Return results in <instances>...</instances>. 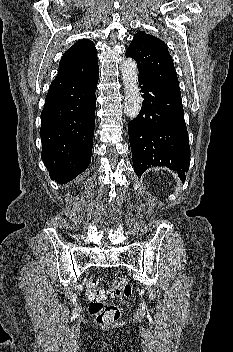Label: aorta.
Here are the masks:
<instances>
[{
	"mask_svg": "<svg viewBox=\"0 0 233 352\" xmlns=\"http://www.w3.org/2000/svg\"><path fill=\"white\" fill-rule=\"evenodd\" d=\"M122 80L125 89L124 113L133 119L141 109V96L137 85L138 69L135 60L128 58L121 64Z\"/></svg>",
	"mask_w": 233,
	"mask_h": 352,
	"instance_id": "aorta-1",
	"label": "aorta"
}]
</instances>
